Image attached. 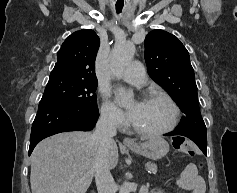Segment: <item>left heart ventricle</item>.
I'll return each instance as SVG.
<instances>
[{
	"label": "left heart ventricle",
	"mask_w": 237,
	"mask_h": 193,
	"mask_svg": "<svg viewBox=\"0 0 237 193\" xmlns=\"http://www.w3.org/2000/svg\"><path fill=\"white\" fill-rule=\"evenodd\" d=\"M130 110L134 111L132 123L146 130L163 129L170 124L172 119L171 107L161 99L134 102Z\"/></svg>",
	"instance_id": "1"
}]
</instances>
